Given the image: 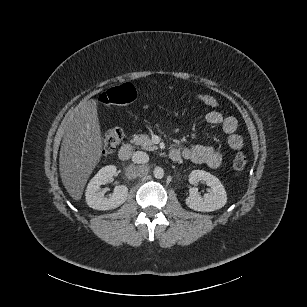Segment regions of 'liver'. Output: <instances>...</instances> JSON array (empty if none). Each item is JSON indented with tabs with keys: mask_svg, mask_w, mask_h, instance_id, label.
Here are the masks:
<instances>
[{
	"mask_svg": "<svg viewBox=\"0 0 307 307\" xmlns=\"http://www.w3.org/2000/svg\"><path fill=\"white\" fill-rule=\"evenodd\" d=\"M97 98L85 100L64 120L59 171L67 193L80 202L87 181L103 157Z\"/></svg>",
	"mask_w": 307,
	"mask_h": 307,
	"instance_id": "liver-1",
	"label": "liver"
}]
</instances>
